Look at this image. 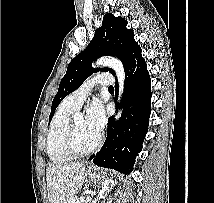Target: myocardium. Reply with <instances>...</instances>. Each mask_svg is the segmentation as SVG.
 I'll use <instances>...</instances> for the list:
<instances>
[{
    "instance_id": "f54148a6",
    "label": "myocardium",
    "mask_w": 214,
    "mask_h": 203,
    "mask_svg": "<svg viewBox=\"0 0 214 203\" xmlns=\"http://www.w3.org/2000/svg\"><path fill=\"white\" fill-rule=\"evenodd\" d=\"M76 117H72L64 134L63 149L72 158L85 157L96 151L102 143L103 136L98 134L95 143L86 150H80L75 141Z\"/></svg>"
}]
</instances>
